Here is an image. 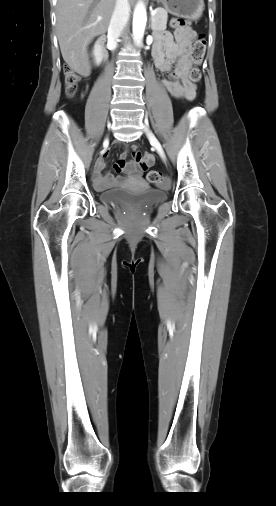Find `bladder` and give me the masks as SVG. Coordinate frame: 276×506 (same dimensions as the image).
<instances>
[{
    "instance_id": "1",
    "label": "bladder",
    "mask_w": 276,
    "mask_h": 506,
    "mask_svg": "<svg viewBox=\"0 0 276 506\" xmlns=\"http://www.w3.org/2000/svg\"><path fill=\"white\" fill-rule=\"evenodd\" d=\"M166 196L165 191L156 188H147L141 192L114 190L100 195L101 200L106 204L121 205L131 201L140 206L161 203L166 199Z\"/></svg>"
}]
</instances>
